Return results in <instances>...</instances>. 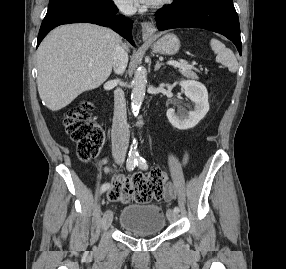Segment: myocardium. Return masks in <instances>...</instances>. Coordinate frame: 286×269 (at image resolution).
<instances>
[{
	"label": "myocardium",
	"mask_w": 286,
	"mask_h": 269,
	"mask_svg": "<svg viewBox=\"0 0 286 269\" xmlns=\"http://www.w3.org/2000/svg\"><path fill=\"white\" fill-rule=\"evenodd\" d=\"M173 0H157L154 4V8H162L167 6L168 4L172 3Z\"/></svg>",
	"instance_id": "1"
}]
</instances>
